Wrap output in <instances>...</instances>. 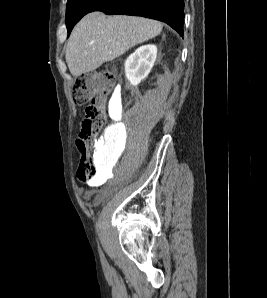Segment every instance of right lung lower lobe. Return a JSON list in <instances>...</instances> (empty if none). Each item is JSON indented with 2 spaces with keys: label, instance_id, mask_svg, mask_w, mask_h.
<instances>
[{
  "label": "right lung lower lobe",
  "instance_id": "1",
  "mask_svg": "<svg viewBox=\"0 0 267 298\" xmlns=\"http://www.w3.org/2000/svg\"><path fill=\"white\" fill-rule=\"evenodd\" d=\"M92 11L156 19L183 35L184 0H98Z\"/></svg>",
  "mask_w": 267,
  "mask_h": 298
}]
</instances>
